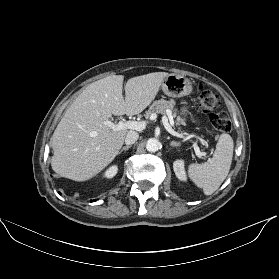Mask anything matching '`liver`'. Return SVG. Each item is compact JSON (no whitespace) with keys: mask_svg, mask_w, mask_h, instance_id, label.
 <instances>
[{"mask_svg":"<svg viewBox=\"0 0 279 279\" xmlns=\"http://www.w3.org/2000/svg\"><path fill=\"white\" fill-rule=\"evenodd\" d=\"M169 74L154 72L130 78L122 95V75L89 84L74 100L51 138L52 169L61 177L85 181L116 157L128 130L113 131L103 121L113 115L141 113L156 97Z\"/></svg>","mask_w":279,"mask_h":279,"instance_id":"liver-1","label":"liver"}]
</instances>
